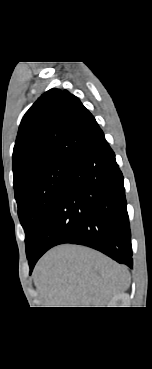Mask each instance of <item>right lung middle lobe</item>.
Segmentation results:
<instances>
[{
    "label": "right lung middle lobe",
    "instance_id": "dd1d6c3e",
    "mask_svg": "<svg viewBox=\"0 0 152 369\" xmlns=\"http://www.w3.org/2000/svg\"><path fill=\"white\" fill-rule=\"evenodd\" d=\"M72 162L58 161L24 176L14 186L18 215L25 231L29 259L64 185Z\"/></svg>",
    "mask_w": 152,
    "mask_h": 369
}]
</instances>
